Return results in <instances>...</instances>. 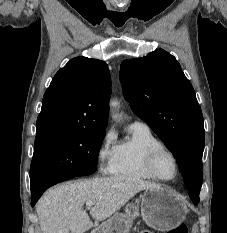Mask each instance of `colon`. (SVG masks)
Segmentation results:
<instances>
[{
    "instance_id": "5ec220e1",
    "label": "colon",
    "mask_w": 227,
    "mask_h": 233,
    "mask_svg": "<svg viewBox=\"0 0 227 233\" xmlns=\"http://www.w3.org/2000/svg\"><path fill=\"white\" fill-rule=\"evenodd\" d=\"M141 233H152L151 231L144 230ZM167 233H188L186 225H179Z\"/></svg>"
}]
</instances>
